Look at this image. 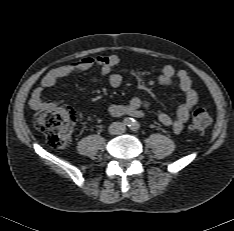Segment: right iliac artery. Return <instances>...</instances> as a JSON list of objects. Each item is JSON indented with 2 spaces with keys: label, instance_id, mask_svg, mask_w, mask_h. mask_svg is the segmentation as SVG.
I'll return each instance as SVG.
<instances>
[{
  "label": "right iliac artery",
  "instance_id": "obj_1",
  "mask_svg": "<svg viewBox=\"0 0 234 231\" xmlns=\"http://www.w3.org/2000/svg\"><path fill=\"white\" fill-rule=\"evenodd\" d=\"M133 123H134V120L132 118H125L123 120V124L126 125V126H129V127L132 126Z\"/></svg>",
  "mask_w": 234,
  "mask_h": 231
}]
</instances>
